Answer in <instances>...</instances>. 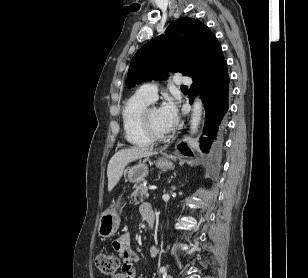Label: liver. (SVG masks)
<instances>
[{
  "label": "liver",
  "instance_id": "6515ba94",
  "mask_svg": "<svg viewBox=\"0 0 308 278\" xmlns=\"http://www.w3.org/2000/svg\"><path fill=\"white\" fill-rule=\"evenodd\" d=\"M156 154L157 152L140 147L122 149L116 152L110 159L107 167L108 191H112L117 185L128 163Z\"/></svg>",
  "mask_w": 308,
  "mask_h": 278
}]
</instances>
